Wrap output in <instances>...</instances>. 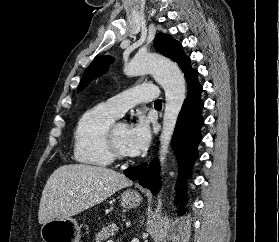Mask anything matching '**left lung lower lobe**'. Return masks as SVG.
I'll return each mask as SVG.
<instances>
[{
  "mask_svg": "<svg viewBox=\"0 0 279 242\" xmlns=\"http://www.w3.org/2000/svg\"><path fill=\"white\" fill-rule=\"evenodd\" d=\"M181 68L188 85V96L179 113L175 131V148L182 176L190 173L192 165L198 157L197 146L202 140L200 129L204 122L201 110L204 104L200 98L202 85L198 82V71L191 67L189 58L183 62ZM159 169L158 161H154L148 167L147 163H142L126 169L124 174L131 180H138L140 185L156 194L160 187ZM179 198L182 201L185 200L184 191L179 193ZM184 212L185 209L181 207L178 214Z\"/></svg>",
  "mask_w": 279,
  "mask_h": 242,
  "instance_id": "0a47b994",
  "label": "left lung lower lobe"
}]
</instances>
